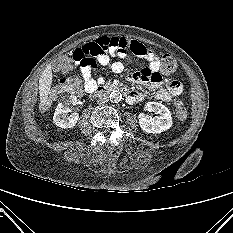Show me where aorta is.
I'll return each instance as SVG.
<instances>
[{"mask_svg": "<svg viewBox=\"0 0 233 233\" xmlns=\"http://www.w3.org/2000/svg\"><path fill=\"white\" fill-rule=\"evenodd\" d=\"M122 99V94L120 91L114 90L110 93V101L113 103H118Z\"/></svg>", "mask_w": 233, "mask_h": 233, "instance_id": "762f6f07", "label": "aorta"}]
</instances>
